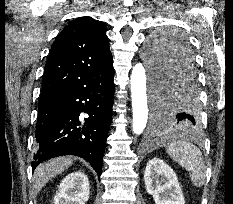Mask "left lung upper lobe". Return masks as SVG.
Instances as JSON below:
<instances>
[{
    "label": "left lung upper lobe",
    "mask_w": 233,
    "mask_h": 204,
    "mask_svg": "<svg viewBox=\"0 0 233 204\" xmlns=\"http://www.w3.org/2000/svg\"><path fill=\"white\" fill-rule=\"evenodd\" d=\"M185 53L193 58L192 51L184 38L175 32H162L154 35L147 44L145 59L150 66L152 76L158 75L171 65L170 58L174 55ZM180 111L190 118L200 117V109L190 107L184 103ZM188 118L184 124L192 127L193 121Z\"/></svg>",
    "instance_id": "1"
}]
</instances>
